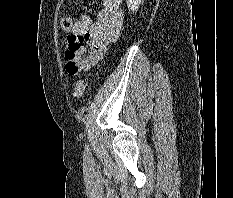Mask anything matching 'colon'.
Segmentation results:
<instances>
[{"mask_svg": "<svg viewBox=\"0 0 233 198\" xmlns=\"http://www.w3.org/2000/svg\"><path fill=\"white\" fill-rule=\"evenodd\" d=\"M73 20L70 17H63L61 19V27L64 31L70 32L73 27ZM66 71L69 75H76L79 71L78 64L75 60V56L72 52H69L66 57ZM86 84L84 80L80 79L75 85V97L81 98L85 92Z\"/></svg>", "mask_w": 233, "mask_h": 198, "instance_id": "5ec220e1", "label": "colon"}]
</instances>
